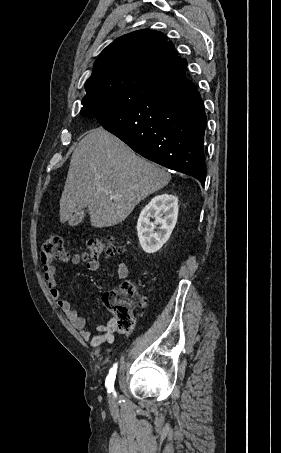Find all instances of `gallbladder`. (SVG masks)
I'll use <instances>...</instances> for the list:
<instances>
[{
    "label": "gallbladder",
    "instance_id": "1",
    "mask_svg": "<svg viewBox=\"0 0 281 453\" xmlns=\"http://www.w3.org/2000/svg\"><path fill=\"white\" fill-rule=\"evenodd\" d=\"M84 216H85V212H83V210H81V212H77V214H74V216H72L69 226L71 228L78 226L79 222H81V220H82V218H84Z\"/></svg>",
    "mask_w": 281,
    "mask_h": 453
}]
</instances>
